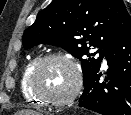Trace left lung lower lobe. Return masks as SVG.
Listing matches in <instances>:
<instances>
[{"label":"left lung lower lobe","mask_w":131,"mask_h":115,"mask_svg":"<svg viewBox=\"0 0 131 115\" xmlns=\"http://www.w3.org/2000/svg\"><path fill=\"white\" fill-rule=\"evenodd\" d=\"M109 66L105 81L97 72L85 85L78 105L101 115H131V27L106 53Z\"/></svg>","instance_id":"1"}]
</instances>
